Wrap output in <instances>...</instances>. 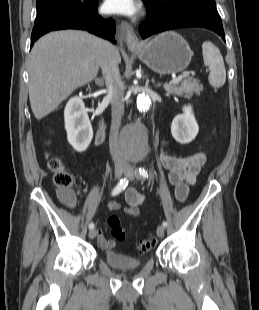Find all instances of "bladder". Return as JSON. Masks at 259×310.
Segmentation results:
<instances>
[{"label":"bladder","mask_w":259,"mask_h":310,"mask_svg":"<svg viewBox=\"0 0 259 310\" xmlns=\"http://www.w3.org/2000/svg\"><path fill=\"white\" fill-rule=\"evenodd\" d=\"M104 260L109 266L120 270L135 269L142 265L141 260L114 249L105 251Z\"/></svg>","instance_id":"bladder-1"}]
</instances>
